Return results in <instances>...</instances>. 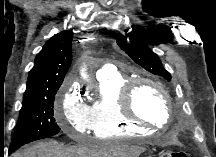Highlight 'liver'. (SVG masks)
<instances>
[{"mask_svg": "<svg viewBox=\"0 0 216 157\" xmlns=\"http://www.w3.org/2000/svg\"><path fill=\"white\" fill-rule=\"evenodd\" d=\"M144 148L118 142L96 143L92 146L65 147L55 141L38 142L12 157H138Z\"/></svg>", "mask_w": 216, "mask_h": 157, "instance_id": "liver-1", "label": "liver"}]
</instances>
